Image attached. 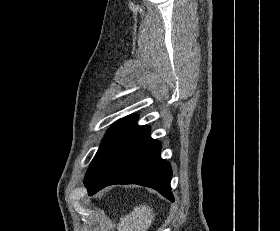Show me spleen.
<instances>
[{"mask_svg":"<svg viewBox=\"0 0 280 231\" xmlns=\"http://www.w3.org/2000/svg\"><path fill=\"white\" fill-rule=\"evenodd\" d=\"M155 213L150 205H137L125 217H120L119 231H147L153 223Z\"/></svg>","mask_w":280,"mask_h":231,"instance_id":"spleen-1","label":"spleen"}]
</instances>
